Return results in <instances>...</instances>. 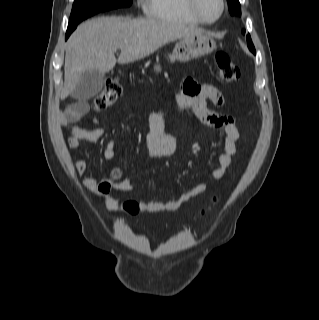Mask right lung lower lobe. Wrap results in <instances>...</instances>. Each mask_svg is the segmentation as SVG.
I'll use <instances>...</instances> for the list:
<instances>
[{
	"label": "right lung lower lobe",
	"instance_id": "98d812e1",
	"mask_svg": "<svg viewBox=\"0 0 319 320\" xmlns=\"http://www.w3.org/2000/svg\"><path fill=\"white\" fill-rule=\"evenodd\" d=\"M73 32V30H67L66 32V39L69 37V35Z\"/></svg>",
	"mask_w": 319,
	"mask_h": 320
}]
</instances>
